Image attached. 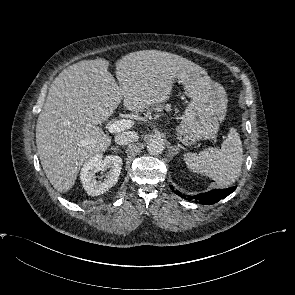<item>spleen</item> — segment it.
Returning a JSON list of instances; mask_svg holds the SVG:
<instances>
[{
	"label": "spleen",
	"instance_id": "1",
	"mask_svg": "<svg viewBox=\"0 0 295 295\" xmlns=\"http://www.w3.org/2000/svg\"><path fill=\"white\" fill-rule=\"evenodd\" d=\"M184 160L192 172L212 178L217 186L227 187L241 172L243 148L240 136L231 128L221 148H207L198 154L186 153Z\"/></svg>",
	"mask_w": 295,
	"mask_h": 295
}]
</instances>
